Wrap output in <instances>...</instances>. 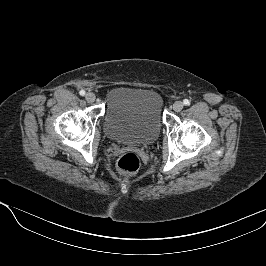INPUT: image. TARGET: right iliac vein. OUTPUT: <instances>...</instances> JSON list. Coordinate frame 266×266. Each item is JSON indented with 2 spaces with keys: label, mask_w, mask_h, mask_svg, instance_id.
<instances>
[{
  "label": "right iliac vein",
  "mask_w": 266,
  "mask_h": 266,
  "mask_svg": "<svg viewBox=\"0 0 266 266\" xmlns=\"http://www.w3.org/2000/svg\"><path fill=\"white\" fill-rule=\"evenodd\" d=\"M95 98H96L95 94H93V93H91V92H89V93H87V94L85 95V99H86V101L89 102V103H93V102L95 101Z\"/></svg>",
  "instance_id": "1"
}]
</instances>
